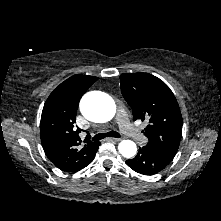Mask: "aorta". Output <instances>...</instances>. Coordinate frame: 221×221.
<instances>
[{
	"instance_id": "obj_1",
	"label": "aorta",
	"mask_w": 221,
	"mask_h": 221,
	"mask_svg": "<svg viewBox=\"0 0 221 221\" xmlns=\"http://www.w3.org/2000/svg\"><path fill=\"white\" fill-rule=\"evenodd\" d=\"M80 111L90 121L106 122L115 115L116 106L108 95L91 92L82 98ZM118 150L122 156L132 158L136 154L137 147L133 141L123 140L119 143Z\"/></svg>"
}]
</instances>
